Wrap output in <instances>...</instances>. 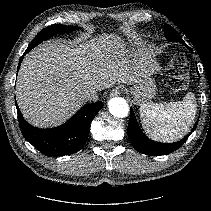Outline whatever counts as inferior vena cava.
Returning a JSON list of instances; mask_svg holds the SVG:
<instances>
[{
    "mask_svg": "<svg viewBox=\"0 0 211 211\" xmlns=\"http://www.w3.org/2000/svg\"><path fill=\"white\" fill-rule=\"evenodd\" d=\"M98 98H99V95L97 91L94 89H89L83 92V99L85 101L95 102L98 100Z\"/></svg>",
    "mask_w": 211,
    "mask_h": 211,
    "instance_id": "1",
    "label": "inferior vena cava"
}]
</instances>
